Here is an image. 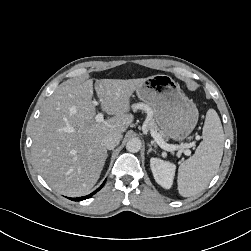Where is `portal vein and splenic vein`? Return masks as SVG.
I'll return each instance as SVG.
<instances>
[{"mask_svg": "<svg viewBox=\"0 0 251 251\" xmlns=\"http://www.w3.org/2000/svg\"><path fill=\"white\" fill-rule=\"evenodd\" d=\"M93 103H94V105H98L97 101H94ZM95 120H96V122H102V121H104L103 114L102 113H98L95 116ZM151 136L154 138L155 142L159 145V147L162 148L163 150L174 151V150H177V149H182V151L184 152L185 155L189 156L191 154L190 150H188V149L183 150L187 145H183V146L180 147V146H176V145L167 144L154 131H151Z\"/></svg>", "mask_w": 251, "mask_h": 251, "instance_id": "obj_1", "label": "portal vein and splenic vein"}]
</instances>
